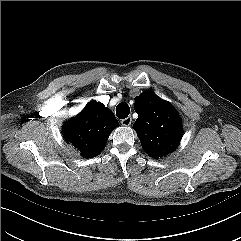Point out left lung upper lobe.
<instances>
[{"mask_svg":"<svg viewBox=\"0 0 241 241\" xmlns=\"http://www.w3.org/2000/svg\"><path fill=\"white\" fill-rule=\"evenodd\" d=\"M138 118L133 125L143 149L153 158L172 152L183 135L181 118L175 108L150 91L135 98Z\"/></svg>","mask_w":241,"mask_h":241,"instance_id":"left-lung-upper-lobe-1","label":"left lung upper lobe"}]
</instances>
